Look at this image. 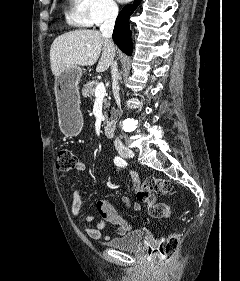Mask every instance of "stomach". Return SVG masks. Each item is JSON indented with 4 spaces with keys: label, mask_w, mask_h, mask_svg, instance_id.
<instances>
[{
    "label": "stomach",
    "mask_w": 240,
    "mask_h": 281,
    "mask_svg": "<svg viewBox=\"0 0 240 281\" xmlns=\"http://www.w3.org/2000/svg\"><path fill=\"white\" fill-rule=\"evenodd\" d=\"M81 76L82 69L79 66H69L64 67L55 78L59 125L66 136L79 134L83 127L78 86Z\"/></svg>",
    "instance_id": "stomach-1"
}]
</instances>
